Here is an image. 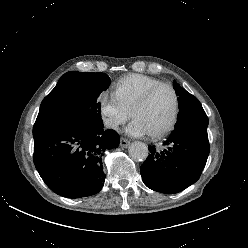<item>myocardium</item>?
<instances>
[{"label":"myocardium","instance_id":"myocardium-1","mask_svg":"<svg viewBox=\"0 0 248 248\" xmlns=\"http://www.w3.org/2000/svg\"><path fill=\"white\" fill-rule=\"evenodd\" d=\"M169 88L174 96V107H173V112L171 115L170 120L168 121V123L161 128L160 130L154 132V133H150L149 136L152 138H158L161 137L163 135H165L166 133L170 132L173 127L175 126L177 119H178V114H179V108H180V98H179V94L177 92V90L169 83H160L158 85H155L153 87H151L150 89H148L142 96L141 98L133 105V107L130 110V116L131 118L134 117V114L140 110L141 108H143L150 100V98L152 97V95L159 89L161 88Z\"/></svg>","mask_w":248,"mask_h":248}]
</instances>
